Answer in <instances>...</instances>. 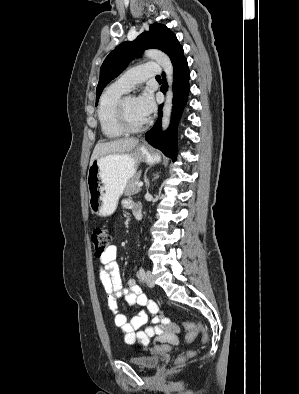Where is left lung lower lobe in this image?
I'll use <instances>...</instances> for the list:
<instances>
[{
  "label": "left lung lower lobe",
  "mask_w": 299,
  "mask_h": 394,
  "mask_svg": "<svg viewBox=\"0 0 299 394\" xmlns=\"http://www.w3.org/2000/svg\"><path fill=\"white\" fill-rule=\"evenodd\" d=\"M172 64L174 67V98L171 127L165 133L161 131L162 106L160 105L159 118L153 128L146 132L144 137L149 144L160 149L166 156L171 157L173 161H175L177 155V122L179 121L183 108L187 102L189 93L190 72L187 60L184 57L183 48L174 57ZM166 90L167 84L163 73V85L161 87V91L165 94Z\"/></svg>",
  "instance_id": "obj_1"
}]
</instances>
